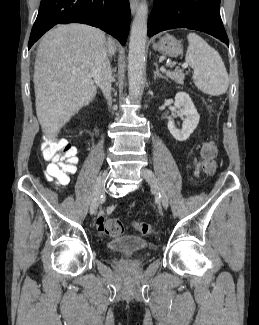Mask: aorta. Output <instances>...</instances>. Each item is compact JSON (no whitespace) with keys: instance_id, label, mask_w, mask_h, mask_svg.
I'll return each instance as SVG.
<instances>
[{"instance_id":"obj_1","label":"aorta","mask_w":259,"mask_h":325,"mask_svg":"<svg viewBox=\"0 0 259 325\" xmlns=\"http://www.w3.org/2000/svg\"><path fill=\"white\" fill-rule=\"evenodd\" d=\"M148 6L144 1L134 17L129 42L128 79L129 94L137 97L143 83L145 47L147 38Z\"/></svg>"}]
</instances>
